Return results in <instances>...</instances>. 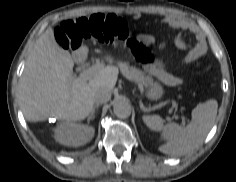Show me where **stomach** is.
Listing matches in <instances>:
<instances>
[{
	"label": "stomach",
	"mask_w": 236,
	"mask_h": 182,
	"mask_svg": "<svg viewBox=\"0 0 236 182\" xmlns=\"http://www.w3.org/2000/svg\"><path fill=\"white\" fill-rule=\"evenodd\" d=\"M143 67L146 71L155 75L159 80L163 81L166 77V72L164 70V64L160 59H155L153 63L144 62ZM164 94V90L161 85L155 83L150 84L147 90V97L150 100H158Z\"/></svg>",
	"instance_id": "0dacf381"
}]
</instances>
